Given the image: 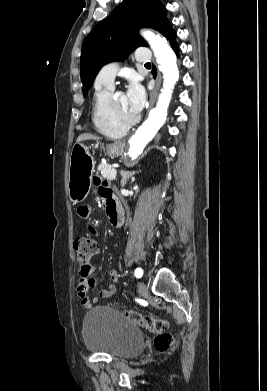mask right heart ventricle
Returning a JSON list of instances; mask_svg holds the SVG:
<instances>
[{"label": "right heart ventricle", "mask_w": 267, "mask_h": 391, "mask_svg": "<svg viewBox=\"0 0 267 391\" xmlns=\"http://www.w3.org/2000/svg\"><path fill=\"white\" fill-rule=\"evenodd\" d=\"M111 88L96 87L92 101V121L99 133L109 138L122 137L127 129L117 125L108 112L107 102Z\"/></svg>", "instance_id": "obj_1"}]
</instances>
